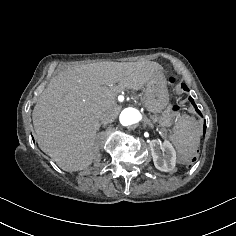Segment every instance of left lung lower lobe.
<instances>
[{
  "label": "left lung lower lobe",
  "instance_id": "left-lung-lower-lobe-1",
  "mask_svg": "<svg viewBox=\"0 0 236 236\" xmlns=\"http://www.w3.org/2000/svg\"><path fill=\"white\" fill-rule=\"evenodd\" d=\"M182 88H183L184 90L188 91V88H187V86H186L185 84H182ZM189 100H190L191 103L194 105L196 111L201 115V112L198 110V108H197V106L195 105V103H194L192 97H189ZM205 130H206V122H204V131H205Z\"/></svg>",
  "mask_w": 236,
  "mask_h": 236
}]
</instances>
